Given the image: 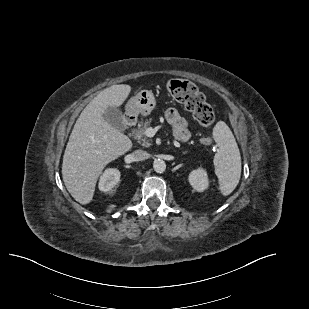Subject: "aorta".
<instances>
[{
  "label": "aorta",
  "mask_w": 309,
  "mask_h": 309,
  "mask_svg": "<svg viewBox=\"0 0 309 309\" xmlns=\"http://www.w3.org/2000/svg\"><path fill=\"white\" fill-rule=\"evenodd\" d=\"M153 168L157 173H163L166 170V163L161 159H157L153 163Z\"/></svg>",
  "instance_id": "762f6f07"
}]
</instances>
